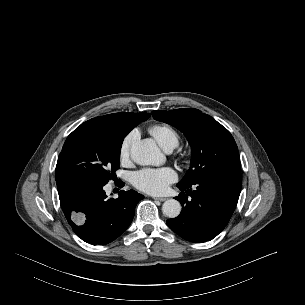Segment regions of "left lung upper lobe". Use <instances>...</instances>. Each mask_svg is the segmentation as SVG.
<instances>
[{"mask_svg": "<svg viewBox=\"0 0 305 305\" xmlns=\"http://www.w3.org/2000/svg\"><path fill=\"white\" fill-rule=\"evenodd\" d=\"M152 116L182 131L191 146V165L179 185H192L211 174L241 169L234 138L211 116L192 108L154 110Z\"/></svg>", "mask_w": 305, "mask_h": 305, "instance_id": "1", "label": "left lung upper lobe"}]
</instances>
